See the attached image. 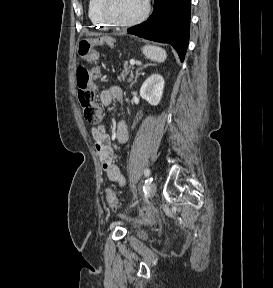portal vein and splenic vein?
I'll return each mask as SVG.
<instances>
[{"mask_svg": "<svg viewBox=\"0 0 273 288\" xmlns=\"http://www.w3.org/2000/svg\"><path fill=\"white\" fill-rule=\"evenodd\" d=\"M135 63H136L135 60H130L131 65H135Z\"/></svg>", "mask_w": 273, "mask_h": 288, "instance_id": "1", "label": "portal vein and splenic vein"}]
</instances>
